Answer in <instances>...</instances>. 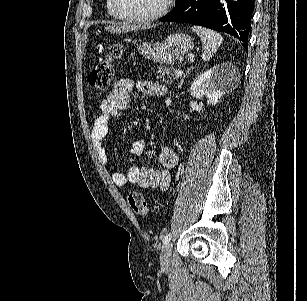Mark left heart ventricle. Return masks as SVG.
Wrapping results in <instances>:
<instances>
[{"label":"left heart ventricle","instance_id":"obj_1","mask_svg":"<svg viewBox=\"0 0 307 301\" xmlns=\"http://www.w3.org/2000/svg\"><path fill=\"white\" fill-rule=\"evenodd\" d=\"M121 3L119 13H147L148 11H159L165 0H118Z\"/></svg>","mask_w":307,"mask_h":301}]
</instances>
